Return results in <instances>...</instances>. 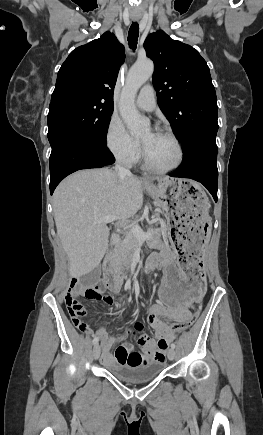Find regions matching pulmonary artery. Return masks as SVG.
I'll return each instance as SVG.
<instances>
[{"instance_id": "obj_1", "label": "pulmonary artery", "mask_w": 263, "mask_h": 435, "mask_svg": "<svg viewBox=\"0 0 263 435\" xmlns=\"http://www.w3.org/2000/svg\"><path fill=\"white\" fill-rule=\"evenodd\" d=\"M136 105L144 111H154L156 108V100L154 89L150 85L144 86L136 98Z\"/></svg>"}]
</instances>
